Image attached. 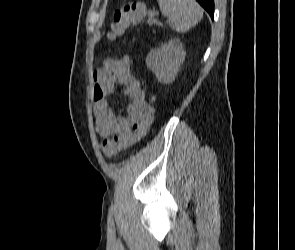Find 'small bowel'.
Returning <instances> with one entry per match:
<instances>
[{"label":"small bowel","mask_w":295,"mask_h":250,"mask_svg":"<svg viewBox=\"0 0 295 250\" xmlns=\"http://www.w3.org/2000/svg\"><path fill=\"white\" fill-rule=\"evenodd\" d=\"M130 68V58L124 55L106 59L93 74L95 130L104 140L118 139L124 149L136 143L135 126L148 110L145 93ZM116 87L122 88L130 100L125 116L118 115L109 100Z\"/></svg>","instance_id":"obj_1"}]
</instances>
